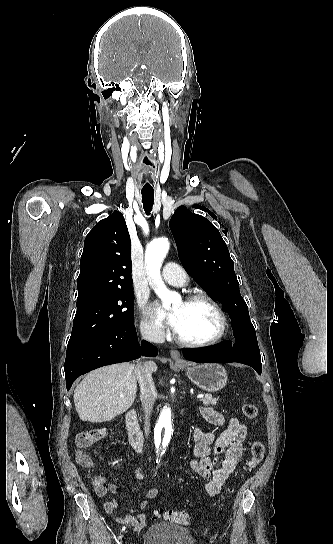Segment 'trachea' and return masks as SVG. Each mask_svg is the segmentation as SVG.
<instances>
[{
	"label": "trachea",
	"instance_id": "1",
	"mask_svg": "<svg viewBox=\"0 0 333 544\" xmlns=\"http://www.w3.org/2000/svg\"><path fill=\"white\" fill-rule=\"evenodd\" d=\"M141 194H142L143 208L145 210V213L149 215L153 207L154 190H142Z\"/></svg>",
	"mask_w": 333,
	"mask_h": 544
}]
</instances>
